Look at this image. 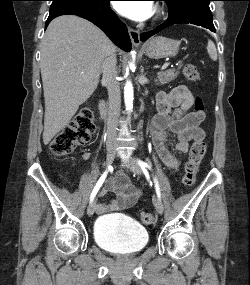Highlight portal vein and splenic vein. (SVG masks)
<instances>
[{
	"label": "portal vein and splenic vein",
	"mask_w": 250,
	"mask_h": 285,
	"mask_svg": "<svg viewBox=\"0 0 250 285\" xmlns=\"http://www.w3.org/2000/svg\"><path fill=\"white\" fill-rule=\"evenodd\" d=\"M168 63H166V64H164L162 67H161V70H164V69H166L167 67H168Z\"/></svg>",
	"instance_id": "portal-vein-and-splenic-vein-1"
}]
</instances>
